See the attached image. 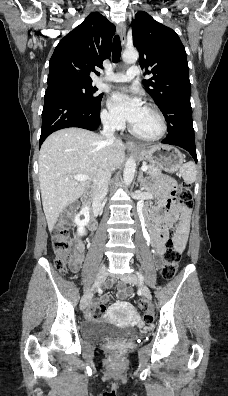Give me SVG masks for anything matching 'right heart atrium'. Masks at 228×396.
I'll use <instances>...</instances> for the list:
<instances>
[{
    "label": "right heart atrium",
    "instance_id": "right-heart-atrium-1",
    "mask_svg": "<svg viewBox=\"0 0 228 396\" xmlns=\"http://www.w3.org/2000/svg\"><path fill=\"white\" fill-rule=\"evenodd\" d=\"M101 120L105 126L111 129H120L122 127V123L118 120L111 112L104 109L101 113Z\"/></svg>",
    "mask_w": 228,
    "mask_h": 396
}]
</instances>
